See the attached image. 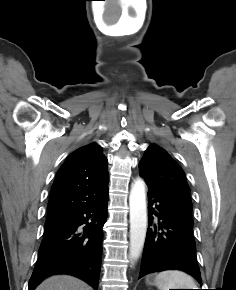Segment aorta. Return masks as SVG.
I'll return each mask as SVG.
<instances>
[{
    "mask_svg": "<svg viewBox=\"0 0 236 290\" xmlns=\"http://www.w3.org/2000/svg\"><path fill=\"white\" fill-rule=\"evenodd\" d=\"M130 207V246L129 258L137 261L141 255L147 231V207L145 183L137 179L131 187L129 195Z\"/></svg>",
    "mask_w": 236,
    "mask_h": 290,
    "instance_id": "1",
    "label": "aorta"
}]
</instances>
